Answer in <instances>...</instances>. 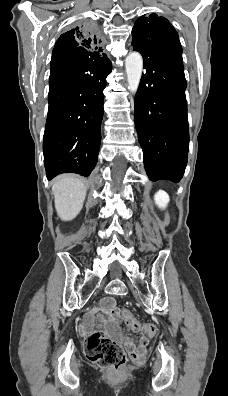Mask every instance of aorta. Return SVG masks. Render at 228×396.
I'll return each instance as SVG.
<instances>
[{"label":"aorta","instance_id":"762f6f07","mask_svg":"<svg viewBox=\"0 0 228 396\" xmlns=\"http://www.w3.org/2000/svg\"><path fill=\"white\" fill-rule=\"evenodd\" d=\"M125 68L128 89L135 94L138 90L143 70L142 56L138 52L129 53L125 60Z\"/></svg>","mask_w":228,"mask_h":396}]
</instances>
